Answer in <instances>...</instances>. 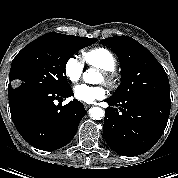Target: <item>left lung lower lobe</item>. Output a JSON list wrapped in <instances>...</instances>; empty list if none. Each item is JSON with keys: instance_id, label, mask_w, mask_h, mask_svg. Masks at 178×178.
I'll list each match as a JSON object with an SVG mask.
<instances>
[{"instance_id": "0a47b994", "label": "left lung lower lobe", "mask_w": 178, "mask_h": 178, "mask_svg": "<svg viewBox=\"0 0 178 178\" xmlns=\"http://www.w3.org/2000/svg\"><path fill=\"white\" fill-rule=\"evenodd\" d=\"M103 134L108 146L123 156H137L151 149L162 136L170 114L171 104H165L146 96H134L124 100H105Z\"/></svg>"}]
</instances>
